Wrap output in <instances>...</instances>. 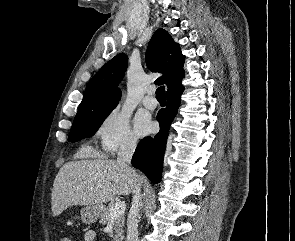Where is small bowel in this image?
<instances>
[{"label":"small bowel","mask_w":295,"mask_h":241,"mask_svg":"<svg viewBox=\"0 0 295 241\" xmlns=\"http://www.w3.org/2000/svg\"><path fill=\"white\" fill-rule=\"evenodd\" d=\"M96 232L94 230H86L81 241H95ZM60 241H71L70 238L63 237Z\"/></svg>","instance_id":"small-bowel-1"}]
</instances>
